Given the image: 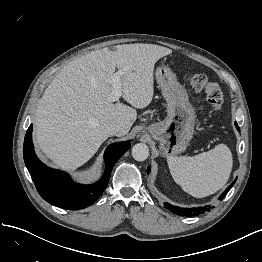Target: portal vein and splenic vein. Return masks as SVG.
Returning a JSON list of instances; mask_svg holds the SVG:
<instances>
[{"instance_id": "obj_1", "label": "portal vein and splenic vein", "mask_w": 262, "mask_h": 262, "mask_svg": "<svg viewBox=\"0 0 262 262\" xmlns=\"http://www.w3.org/2000/svg\"><path fill=\"white\" fill-rule=\"evenodd\" d=\"M124 74V70H118L116 73H114L113 78H112V86L113 90L110 95V101L115 102L119 100V98L122 95V87H121V81L120 78Z\"/></svg>"}]
</instances>
